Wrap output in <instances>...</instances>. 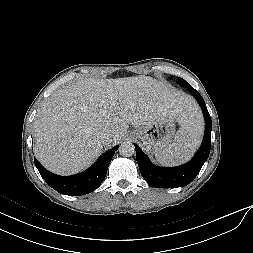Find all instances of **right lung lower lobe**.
Segmentation results:
<instances>
[{
  "label": "right lung lower lobe",
  "instance_id": "98d812e1",
  "mask_svg": "<svg viewBox=\"0 0 253 253\" xmlns=\"http://www.w3.org/2000/svg\"><path fill=\"white\" fill-rule=\"evenodd\" d=\"M118 146L102 154L86 171L72 176H59L46 170L35 158V165L46 183L65 195H84L96 190L104 180L108 166Z\"/></svg>",
  "mask_w": 253,
  "mask_h": 253
}]
</instances>
